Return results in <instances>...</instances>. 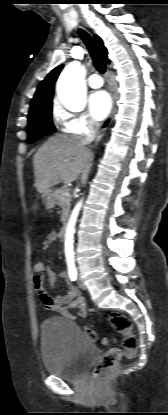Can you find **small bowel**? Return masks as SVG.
Returning a JSON list of instances; mask_svg holds the SVG:
<instances>
[{"label": "small bowel", "instance_id": "c3829d8e", "mask_svg": "<svg viewBox=\"0 0 168 415\" xmlns=\"http://www.w3.org/2000/svg\"><path fill=\"white\" fill-rule=\"evenodd\" d=\"M56 239V233H49L45 240L42 242L41 248L44 250L49 249L50 246L56 241ZM43 269L45 271L44 276L46 275L48 279V287H46L44 282H42L34 283V288L45 304L46 309L57 312L63 317L72 321L78 318H85L87 315L85 299L81 295L80 291L73 284H71L68 272L61 271L58 274V277L66 283L68 290L62 295L52 297L50 294V289L56 282L57 275L49 265L45 264ZM70 309H76L77 314L71 313Z\"/></svg>", "mask_w": 168, "mask_h": 415}]
</instances>
